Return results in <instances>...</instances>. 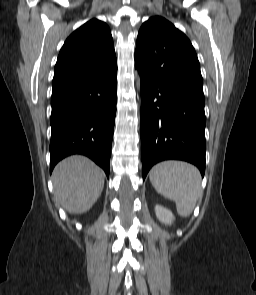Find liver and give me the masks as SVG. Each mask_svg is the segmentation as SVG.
I'll return each instance as SVG.
<instances>
[{"label": "liver", "instance_id": "liver-1", "mask_svg": "<svg viewBox=\"0 0 256 295\" xmlns=\"http://www.w3.org/2000/svg\"><path fill=\"white\" fill-rule=\"evenodd\" d=\"M104 179L103 170L90 159L70 156L54 168V198L69 213H85L100 197Z\"/></svg>", "mask_w": 256, "mask_h": 295}]
</instances>
